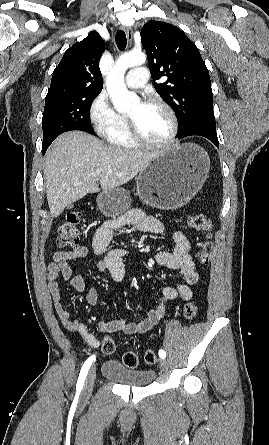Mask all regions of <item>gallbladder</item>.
I'll return each mask as SVG.
<instances>
[{
  "label": "gallbladder",
  "instance_id": "1",
  "mask_svg": "<svg viewBox=\"0 0 269 445\" xmlns=\"http://www.w3.org/2000/svg\"><path fill=\"white\" fill-rule=\"evenodd\" d=\"M72 206H73L72 204H69V205L67 206V208H72Z\"/></svg>",
  "mask_w": 269,
  "mask_h": 445
}]
</instances>
